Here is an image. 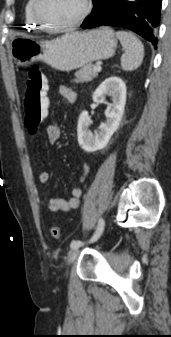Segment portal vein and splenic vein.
<instances>
[{
	"label": "portal vein and splenic vein",
	"instance_id": "obj_1",
	"mask_svg": "<svg viewBox=\"0 0 171 337\" xmlns=\"http://www.w3.org/2000/svg\"><path fill=\"white\" fill-rule=\"evenodd\" d=\"M94 70H95L96 72H100V71H101V67H100V66H96V67L94 68Z\"/></svg>",
	"mask_w": 171,
	"mask_h": 337
}]
</instances>
